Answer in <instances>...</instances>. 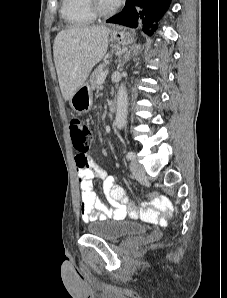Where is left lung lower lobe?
Instances as JSON below:
<instances>
[{
    "label": "left lung lower lobe",
    "mask_w": 227,
    "mask_h": 298,
    "mask_svg": "<svg viewBox=\"0 0 227 298\" xmlns=\"http://www.w3.org/2000/svg\"><path fill=\"white\" fill-rule=\"evenodd\" d=\"M170 0H128L123 10L108 19V23H116L132 28L143 26V31L152 35L157 29L155 22L159 21Z\"/></svg>",
    "instance_id": "left-lung-lower-lobe-1"
}]
</instances>
